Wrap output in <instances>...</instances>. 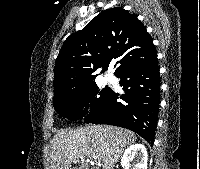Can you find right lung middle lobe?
<instances>
[{"instance_id": "right-lung-middle-lobe-1", "label": "right lung middle lobe", "mask_w": 200, "mask_h": 169, "mask_svg": "<svg viewBox=\"0 0 200 169\" xmlns=\"http://www.w3.org/2000/svg\"><path fill=\"white\" fill-rule=\"evenodd\" d=\"M111 89L108 86L100 89L95 80H91L84 84L77 91L53 99V105L56 111L69 120H78L87 114L97 110Z\"/></svg>"}]
</instances>
